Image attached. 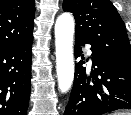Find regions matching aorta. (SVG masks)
Returning a JSON list of instances; mask_svg holds the SVG:
<instances>
[{
  "mask_svg": "<svg viewBox=\"0 0 131 115\" xmlns=\"http://www.w3.org/2000/svg\"><path fill=\"white\" fill-rule=\"evenodd\" d=\"M73 35V16L61 14L55 24V47L58 88L62 93L71 88L74 79Z\"/></svg>",
  "mask_w": 131,
  "mask_h": 115,
  "instance_id": "aorta-1",
  "label": "aorta"
}]
</instances>
